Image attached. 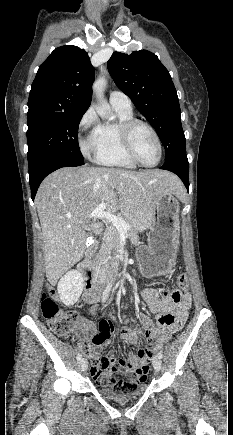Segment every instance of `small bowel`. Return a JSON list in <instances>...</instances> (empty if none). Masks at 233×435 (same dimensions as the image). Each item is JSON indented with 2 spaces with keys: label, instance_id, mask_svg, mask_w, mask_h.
<instances>
[{
  "label": "small bowel",
  "instance_id": "obj_1",
  "mask_svg": "<svg viewBox=\"0 0 233 435\" xmlns=\"http://www.w3.org/2000/svg\"><path fill=\"white\" fill-rule=\"evenodd\" d=\"M103 297L104 295L101 299L102 302ZM142 298L149 310L156 315V322L152 321L144 314H141L139 317L144 328L145 337L155 338V346L152 350H156L186 322L188 309L191 304V294L188 292L187 288L184 289L178 284V287L172 290L146 288L142 291ZM77 306L81 307L82 302H78ZM113 332L114 324L109 318H101L98 325L82 319L79 320L75 326L74 334L77 338L80 350L83 347H87L88 352L85 355L95 361L91 368V374L95 382L98 385L117 384V378L113 376V373H130L134 368L139 370L136 379L138 381L145 379L149 368L147 359H142V353L146 351L150 352L151 349H139L138 357L133 353H128L129 364H126L122 358L116 357L113 352H109L106 355V363L97 362L100 358L103 345L108 341V338ZM93 334H96L100 340L91 343L90 338ZM121 339L134 345L138 342V331L131 328H124L121 333Z\"/></svg>",
  "mask_w": 233,
  "mask_h": 435
}]
</instances>
